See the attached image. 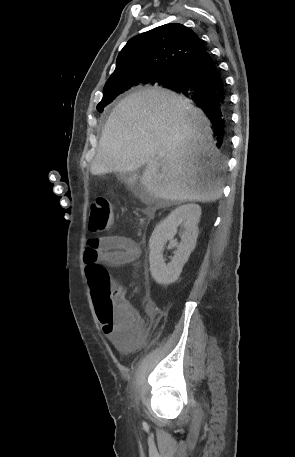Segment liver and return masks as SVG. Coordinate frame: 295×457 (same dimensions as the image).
<instances>
[{
  "instance_id": "6515ba94",
  "label": "liver",
  "mask_w": 295,
  "mask_h": 457,
  "mask_svg": "<svg viewBox=\"0 0 295 457\" xmlns=\"http://www.w3.org/2000/svg\"><path fill=\"white\" fill-rule=\"evenodd\" d=\"M142 166L140 182L155 198L212 202L222 194L210 122L172 91L146 89L121 100L104 126L90 171L125 173Z\"/></svg>"
}]
</instances>
